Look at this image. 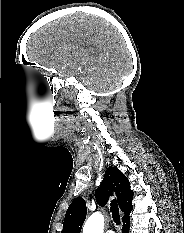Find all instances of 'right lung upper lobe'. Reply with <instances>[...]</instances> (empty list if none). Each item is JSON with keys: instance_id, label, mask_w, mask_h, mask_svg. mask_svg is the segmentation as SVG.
<instances>
[{"instance_id": "1", "label": "right lung upper lobe", "mask_w": 184, "mask_h": 233, "mask_svg": "<svg viewBox=\"0 0 184 233\" xmlns=\"http://www.w3.org/2000/svg\"><path fill=\"white\" fill-rule=\"evenodd\" d=\"M113 192L117 197L120 209L125 213L122 220L129 218L132 211L133 191L130 189L128 178L117 167L107 169L101 185L95 192L97 203L104 206ZM86 214L85 200L81 197L74 199L66 211L61 233H80Z\"/></svg>"}]
</instances>
